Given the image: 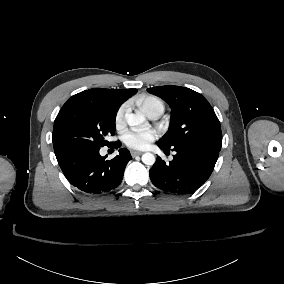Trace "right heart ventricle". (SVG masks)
<instances>
[{
	"instance_id": "1",
	"label": "right heart ventricle",
	"mask_w": 284,
	"mask_h": 284,
	"mask_svg": "<svg viewBox=\"0 0 284 284\" xmlns=\"http://www.w3.org/2000/svg\"><path fill=\"white\" fill-rule=\"evenodd\" d=\"M143 108L146 111V113L149 110L156 109V108L161 109L162 111H164V102L162 101V99H160L157 96L147 95L143 99Z\"/></svg>"
}]
</instances>
